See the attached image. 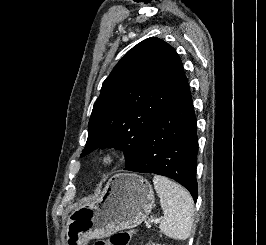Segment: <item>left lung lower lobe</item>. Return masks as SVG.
I'll return each instance as SVG.
<instances>
[{
    "label": "left lung lower lobe",
    "instance_id": "left-lung-lower-lobe-1",
    "mask_svg": "<svg viewBox=\"0 0 266 245\" xmlns=\"http://www.w3.org/2000/svg\"><path fill=\"white\" fill-rule=\"evenodd\" d=\"M197 151L196 116L185 77L143 136L136 159L124 170L174 179L189 190L196 202Z\"/></svg>",
    "mask_w": 266,
    "mask_h": 245
}]
</instances>
